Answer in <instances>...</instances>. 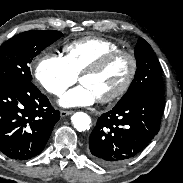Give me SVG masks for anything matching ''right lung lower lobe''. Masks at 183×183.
I'll return each mask as SVG.
<instances>
[{"mask_svg": "<svg viewBox=\"0 0 183 183\" xmlns=\"http://www.w3.org/2000/svg\"><path fill=\"white\" fill-rule=\"evenodd\" d=\"M60 113L30 81L0 83V151L26 160L45 147Z\"/></svg>", "mask_w": 183, "mask_h": 183, "instance_id": "right-lung-lower-lobe-1", "label": "right lung lower lobe"}]
</instances>
